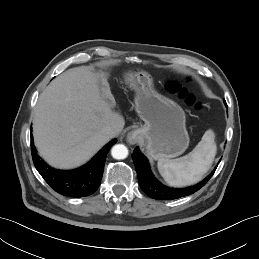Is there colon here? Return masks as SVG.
Here are the masks:
<instances>
[{"label":"colon","mask_w":259,"mask_h":259,"mask_svg":"<svg viewBox=\"0 0 259 259\" xmlns=\"http://www.w3.org/2000/svg\"><path fill=\"white\" fill-rule=\"evenodd\" d=\"M166 85L172 93L176 94L188 106L195 110H200L202 108V103L188 87L181 85L175 80H168Z\"/></svg>","instance_id":"1"}]
</instances>
